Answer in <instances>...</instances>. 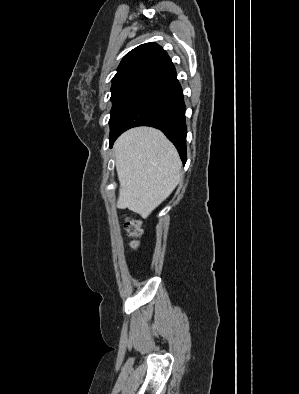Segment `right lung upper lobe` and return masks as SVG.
<instances>
[{
    "instance_id": "1",
    "label": "right lung upper lobe",
    "mask_w": 299,
    "mask_h": 394,
    "mask_svg": "<svg viewBox=\"0 0 299 394\" xmlns=\"http://www.w3.org/2000/svg\"><path fill=\"white\" fill-rule=\"evenodd\" d=\"M173 72L175 67L167 53L156 43H145L124 56L111 89L129 85L150 88Z\"/></svg>"
}]
</instances>
